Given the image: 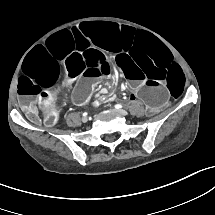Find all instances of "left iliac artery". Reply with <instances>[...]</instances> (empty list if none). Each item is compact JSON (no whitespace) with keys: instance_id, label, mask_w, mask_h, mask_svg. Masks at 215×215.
Returning <instances> with one entry per match:
<instances>
[{"instance_id":"44dca946","label":"left iliac artery","mask_w":215,"mask_h":215,"mask_svg":"<svg viewBox=\"0 0 215 215\" xmlns=\"http://www.w3.org/2000/svg\"><path fill=\"white\" fill-rule=\"evenodd\" d=\"M115 108H116V109H121V108H122V106H121V105H119V104H117V105H115Z\"/></svg>"}]
</instances>
